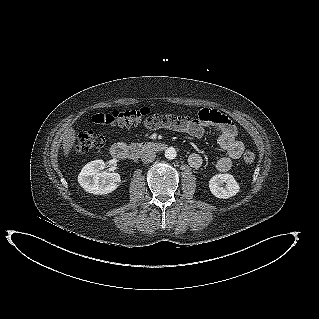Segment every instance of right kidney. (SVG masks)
Instances as JSON below:
<instances>
[{"mask_svg": "<svg viewBox=\"0 0 319 319\" xmlns=\"http://www.w3.org/2000/svg\"><path fill=\"white\" fill-rule=\"evenodd\" d=\"M105 166L103 160L87 163L78 175L80 186L95 195H106L116 190L121 182L120 175L116 172L102 171Z\"/></svg>", "mask_w": 319, "mask_h": 319, "instance_id": "1", "label": "right kidney"}]
</instances>
